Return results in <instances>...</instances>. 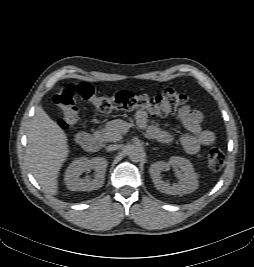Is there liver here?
<instances>
[{"instance_id": "liver-1", "label": "liver", "mask_w": 254, "mask_h": 267, "mask_svg": "<svg viewBox=\"0 0 254 267\" xmlns=\"http://www.w3.org/2000/svg\"><path fill=\"white\" fill-rule=\"evenodd\" d=\"M26 160L42 189L58 194V176L69 155L67 136L63 129L38 106L27 134Z\"/></svg>"}]
</instances>
